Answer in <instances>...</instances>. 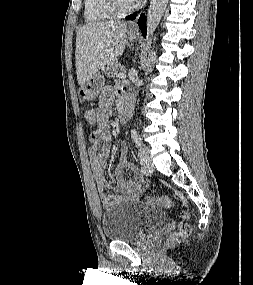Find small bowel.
Listing matches in <instances>:
<instances>
[{"mask_svg":"<svg viewBox=\"0 0 253 285\" xmlns=\"http://www.w3.org/2000/svg\"><path fill=\"white\" fill-rule=\"evenodd\" d=\"M119 94L122 98L129 96L128 90L123 86L106 87L101 92L99 106L96 110L99 127L90 135V146L88 156L90 159L93 177L96 182L97 190L104 208H108L118 202L138 200L141 193L147 191V185L137 176L133 179L125 180L124 169L129 165L133 170L134 166L128 163L126 153L127 147L122 146L121 162L115 171L116 185L114 190L116 194H108L107 189L110 187L105 176L104 170L107 166L110 155V133L107 122L111 116V106L114 96ZM101 144L100 148L99 145Z\"/></svg>","mask_w":253,"mask_h":285,"instance_id":"small-bowel-1","label":"small bowel"}]
</instances>
